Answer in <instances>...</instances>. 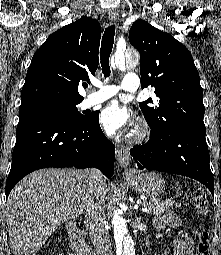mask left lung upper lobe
Wrapping results in <instances>:
<instances>
[{"instance_id": "5c2ea615", "label": "left lung upper lobe", "mask_w": 221, "mask_h": 255, "mask_svg": "<svg viewBox=\"0 0 221 255\" xmlns=\"http://www.w3.org/2000/svg\"><path fill=\"white\" fill-rule=\"evenodd\" d=\"M129 41L141 56L142 88H155L156 99L139 104L151 131L169 130L179 124L206 130L203 90L189 50L172 35L141 19L131 26Z\"/></svg>"}]
</instances>
